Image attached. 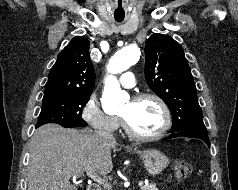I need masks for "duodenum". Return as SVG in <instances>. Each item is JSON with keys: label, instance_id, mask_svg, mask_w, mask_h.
Returning <instances> with one entry per match:
<instances>
[{"label": "duodenum", "instance_id": "1", "mask_svg": "<svg viewBox=\"0 0 238 190\" xmlns=\"http://www.w3.org/2000/svg\"><path fill=\"white\" fill-rule=\"evenodd\" d=\"M87 190H101L100 186L94 184V185H91Z\"/></svg>", "mask_w": 238, "mask_h": 190}]
</instances>
